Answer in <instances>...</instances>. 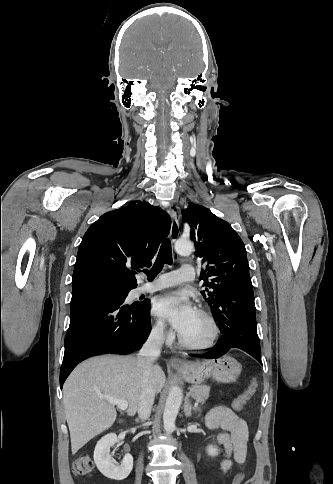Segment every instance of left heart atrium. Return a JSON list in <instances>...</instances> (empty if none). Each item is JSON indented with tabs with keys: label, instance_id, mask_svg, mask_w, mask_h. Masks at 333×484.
Instances as JSON below:
<instances>
[{
	"label": "left heart atrium",
	"instance_id": "39dd6f15",
	"mask_svg": "<svg viewBox=\"0 0 333 484\" xmlns=\"http://www.w3.org/2000/svg\"><path fill=\"white\" fill-rule=\"evenodd\" d=\"M153 314L167 320L181 333L196 314V309L184 292H170L159 297L153 306Z\"/></svg>",
	"mask_w": 333,
	"mask_h": 484
}]
</instances>
